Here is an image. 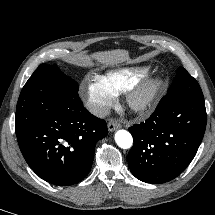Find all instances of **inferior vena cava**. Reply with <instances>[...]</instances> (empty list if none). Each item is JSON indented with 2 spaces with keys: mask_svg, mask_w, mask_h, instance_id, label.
<instances>
[{
  "mask_svg": "<svg viewBox=\"0 0 215 215\" xmlns=\"http://www.w3.org/2000/svg\"><path fill=\"white\" fill-rule=\"evenodd\" d=\"M89 110L92 114L101 118L109 114V109L108 107H105V106L91 105L89 107Z\"/></svg>",
  "mask_w": 215,
  "mask_h": 215,
  "instance_id": "602c4592",
  "label": "inferior vena cava"
}]
</instances>
